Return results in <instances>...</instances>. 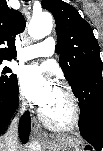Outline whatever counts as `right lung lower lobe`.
<instances>
[{
  "mask_svg": "<svg viewBox=\"0 0 103 151\" xmlns=\"http://www.w3.org/2000/svg\"><path fill=\"white\" fill-rule=\"evenodd\" d=\"M18 93L8 95L0 92V134H3L15 121L16 109L18 107ZM31 129V118L26 111L19 121V137L22 143H26Z\"/></svg>",
  "mask_w": 103,
  "mask_h": 151,
  "instance_id": "98d812e1",
  "label": "right lung lower lobe"
}]
</instances>
